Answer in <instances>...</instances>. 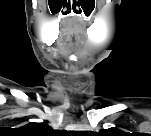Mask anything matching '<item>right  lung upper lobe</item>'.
<instances>
[{
  "instance_id": "cb5924a9",
  "label": "right lung upper lobe",
  "mask_w": 151,
  "mask_h": 136,
  "mask_svg": "<svg viewBox=\"0 0 151 136\" xmlns=\"http://www.w3.org/2000/svg\"><path fill=\"white\" fill-rule=\"evenodd\" d=\"M21 132H26L30 134H46L47 131H49L48 124L44 121L42 123H29L20 129Z\"/></svg>"
}]
</instances>
